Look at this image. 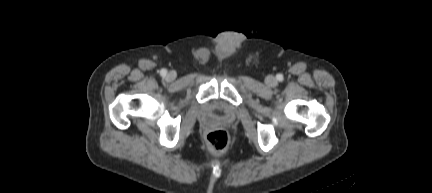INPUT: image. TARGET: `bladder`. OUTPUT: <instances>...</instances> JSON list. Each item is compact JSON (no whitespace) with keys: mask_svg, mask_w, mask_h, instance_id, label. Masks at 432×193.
Wrapping results in <instances>:
<instances>
[{"mask_svg":"<svg viewBox=\"0 0 432 193\" xmlns=\"http://www.w3.org/2000/svg\"><path fill=\"white\" fill-rule=\"evenodd\" d=\"M210 109H211V110H214V111H222V104H221L219 101H215V102L211 105Z\"/></svg>","mask_w":432,"mask_h":193,"instance_id":"31cf9c89","label":"bladder"}]
</instances>
